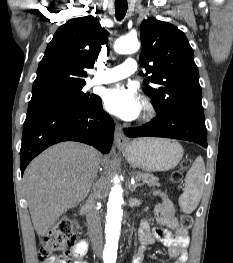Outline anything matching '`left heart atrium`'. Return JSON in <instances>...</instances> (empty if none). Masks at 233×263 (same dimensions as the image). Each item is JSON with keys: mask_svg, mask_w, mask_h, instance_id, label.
Here are the masks:
<instances>
[{"mask_svg": "<svg viewBox=\"0 0 233 263\" xmlns=\"http://www.w3.org/2000/svg\"><path fill=\"white\" fill-rule=\"evenodd\" d=\"M104 107L123 120H134L141 112L142 101L133 88L119 84L105 92Z\"/></svg>", "mask_w": 233, "mask_h": 263, "instance_id": "1", "label": "left heart atrium"}]
</instances>
